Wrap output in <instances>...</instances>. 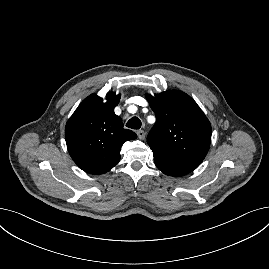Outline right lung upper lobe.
Instances as JSON below:
<instances>
[{
	"label": "right lung upper lobe",
	"instance_id": "right-lung-upper-lobe-1",
	"mask_svg": "<svg viewBox=\"0 0 269 269\" xmlns=\"http://www.w3.org/2000/svg\"><path fill=\"white\" fill-rule=\"evenodd\" d=\"M119 100L120 95L113 92L106 95V101L91 94L66 124L70 156L87 173L100 175L110 171L120 161L123 143L137 137L123 128L122 119L114 113Z\"/></svg>",
	"mask_w": 269,
	"mask_h": 269
}]
</instances>
